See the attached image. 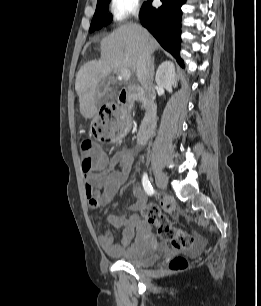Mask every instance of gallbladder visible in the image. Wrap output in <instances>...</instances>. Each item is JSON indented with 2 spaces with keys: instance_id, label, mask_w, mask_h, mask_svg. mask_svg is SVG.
Here are the masks:
<instances>
[{
  "instance_id": "bac80fb5",
  "label": "gallbladder",
  "mask_w": 261,
  "mask_h": 306,
  "mask_svg": "<svg viewBox=\"0 0 261 306\" xmlns=\"http://www.w3.org/2000/svg\"><path fill=\"white\" fill-rule=\"evenodd\" d=\"M109 86V81L107 79L102 80L96 90V101L97 104H103L106 99H105V95H106V91L108 89Z\"/></svg>"
}]
</instances>
